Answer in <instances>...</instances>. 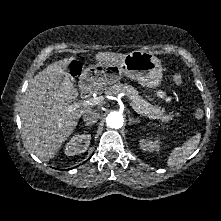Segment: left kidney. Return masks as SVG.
<instances>
[{
    "label": "left kidney",
    "mask_w": 221,
    "mask_h": 221,
    "mask_svg": "<svg viewBox=\"0 0 221 221\" xmlns=\"http://www.w3.org/2000/svg\"><path fill=\"white\" fill-rule=\"evenodd\" d=\"M152 138L149 139H141L140 140V148L143 151H159L160 149V139L157 137L155 140H151Z\"/></svg>",
    "instance_id": "left-kidney-1"
}]
</instances>
